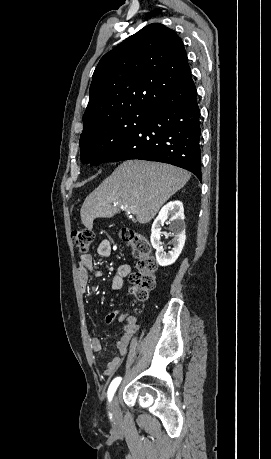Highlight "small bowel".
I'll list each match as a JSON object with an SVG mask.
<instances>
[{
  "label": "small bowel",
  "instance_id": "c3829d8e",
  "mask_svg": "<svg viewBox=\"0 0 271 459\" xmlns=\"http://www.w3.org/2000/svg\"><path fill=\"white\" fill-rule=\"evenodd\" d=\"M112 253V245L109 240H101L97 246V255L100 257H109ZM131 269L128 265H121L112 279L111 289L117 291L122 288L124 279L130 275ZM77 273L80 286L83 292L87 290V284L90 275L95 277L101 276V272L97 271L93 264V257L90 254H83L79 258L77 264ZM118 316L117 311H112L105 317V323L110 324ZM119 322L123 323V334L121 338L116 343V348L120 355L124 356L127 354L129 346L133 341L134 335L139 329V325L134 316H125L120 315L118 317ZM91 348L93 351L98 352L102 349V344L100 339L93 338L91 340ZM121 364V359L117 356L112 357L108 360L104 375L110 377L114 375L119 369Z\"/></svg>",
  "mask_w": 271,
  "mask_h": 459
}]
</instances>
